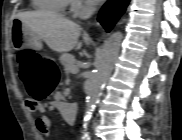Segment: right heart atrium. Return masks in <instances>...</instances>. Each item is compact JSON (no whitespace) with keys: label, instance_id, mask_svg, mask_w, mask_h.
<instances>
[{"label":"right heart atrium","instance_id":"1","mask_svg":"<svg viewBox=\"0 0 182 140\" xmlns=\"http://www.w3.org/2000/svg\"><path fill=\"white\" fill-rule=\"evenodd\" d=\"M91 9V6L85 1L81 0H72L71 1V11L74 14H84Z\"/></svg>","mask_w":182,"mask_h":140}]
</instances>
